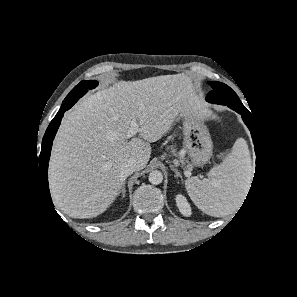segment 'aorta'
<instances>
[{
    "label": "aorta",
    "instance_id": "aorta-1",
    "mask_svg": "<svg viewBox=\"0 0 297 297\" xmlns=\"http://www.w3.org/2000/svg\"><path fill=\"white\" fill-rule=\"evenodd\" d=\"M163 181V174L159 170H154L149 174V182L153 185H158Z\"/></svg>",
    "mask_w": 297,
    "mask_h": 297
}]
</instances>
